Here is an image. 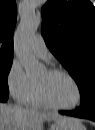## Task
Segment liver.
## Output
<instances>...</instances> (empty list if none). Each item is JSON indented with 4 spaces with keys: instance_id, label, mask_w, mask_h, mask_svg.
Masks as SVG:
<instances>
[{
    "instance_id": "obj_1",
    "label": "liver",
    "mask_w": 95,
    "mask_h": 130,
    "mask_svg": "<svg viewBox=\"0 0 95 130\" xmlns=\"http://www.w3.org/2000/svg\"><path fill=\"white\" fill-rule=\"evenodd\" d=\"M57 113L0 104V130H42L44 122L64 119Z\"/></svg>"
}]
</instances>
